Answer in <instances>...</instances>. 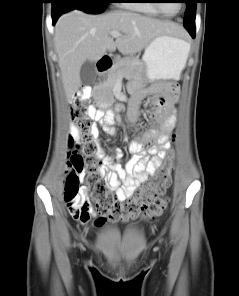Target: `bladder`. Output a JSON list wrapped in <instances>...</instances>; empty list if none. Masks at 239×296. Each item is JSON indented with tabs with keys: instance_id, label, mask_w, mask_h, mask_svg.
<instances>
[{
	"instance_id": "bladder-1",
	"label": "bladder",
	"mask_w": 239,
	"mask_h": 296,
	"mask_svg": "<svg viewBox=\"0 0 239 296\" xmlns=\"http://www.w3.org/2000/svg\"><path fill=\"white\" fill-rule=\"evenodd\" d=\"M115 239H116V235L112 234V235L107 236L103 242L105 244H110V243L114 242Z\"/></svg>"
}]
</instances>
